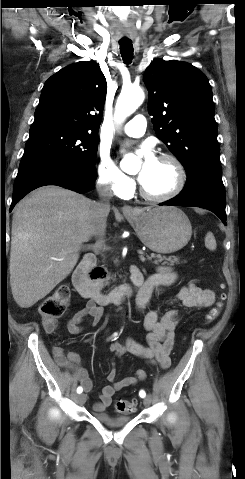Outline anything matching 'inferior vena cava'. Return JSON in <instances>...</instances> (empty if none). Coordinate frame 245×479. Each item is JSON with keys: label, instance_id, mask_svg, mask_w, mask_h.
Masks as SVG:
<instances>
[{"label": "inferior vena cava", "instance_id": "602c4592", "mask_svg": "<svg viewBox=\"0 0 245 479\" xmlns=\"http://www.w3.org/2000/svg\"><path fill=\"white\" fill-rule=\"evenodd\" d=\"M96 188L100 200L98 202H90V214L97 243L98 245H103L106 232V220L110 212V199L112 197V192L105 183L99 181Z\"/></svg>", "mask_w": 245, "mask_h": 479}]
</instances>
